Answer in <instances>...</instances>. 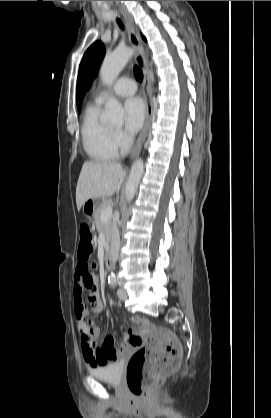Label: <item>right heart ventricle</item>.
Segmentation results:
<instances>
[{"mask_svg": "<svg viewBox=\"0 0 271 418\" xmlns=\"http://www.w3.org/2000/svg\"><path fill=\"white\" fill-rule=\"evenodd\" d=\"M114 130L102 122L101 106L95 103L85 112L81 136L86 154L94 161L106 162L118 157L114 142Z\"/></svg>", "mask_w": 271, "mask_h": 418, "instance_id": "obj_1", "label": "right heart ventricle"}]
</instances>
